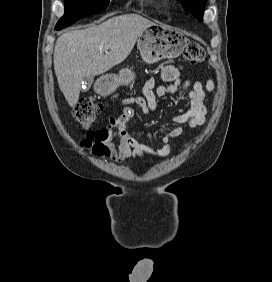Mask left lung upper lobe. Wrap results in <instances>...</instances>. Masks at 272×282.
I'll return each instance as SVG.
<instances>
[{
    "label": "left lung upper lobe",
    "mask_w": 272,
    "mask_h": 282,
    "mask_svg": "<svg viewBox=\"0 0 272 282\" xmlns=\"http://www.w3.org/2000/svg\"><path fill=\"white\" fill-rule=\"evenodd\" d=\"M186 12H191L197 19L203 20L207 0H178Z\"/></svg>",
    "instance_id": "obj_1"
}]
</instances>
